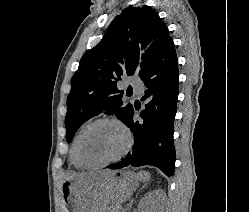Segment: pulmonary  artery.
Returning <instances> with one entry per match:
<instances>
[{
  "label": "pulmonary artery",
  "mask_w": 249,
  "mask_h": 212,
  "mask_svg": "<svg viewBox=\"0 0 249 212\" xmlns=\"http://www.w3.org/2000/svg\"><path fill=\"white\" fill-rule=\"evenodd\" d=\"M132 87L134 89V92L137 94V95H141L144 91V86L142 84H132Z\"/></svg>",
  "instance_id": "pulmonary-artery-1"
}]
</instances>
